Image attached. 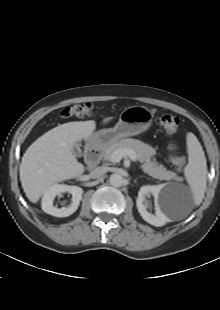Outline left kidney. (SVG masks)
<instances>
[{
	"label": "left kidney",
	"mask_w": 220,
	"mask_h": 310,
	"mask_svg": "<svg viewBox=\"0 0 220 310\" xmlns=\"http://www.w3.org/2000/svg\"><path fill=\"white\" fill-rule=\"evenodd\" d=\"M164 185L142 186L138 193L137 208L142 218L151 225L162 226L168 217L166 211L171 203V198L165 192H162ZM152 195L154 197L155 215L147 211L146 197Z\"/></svg>",
	"instance_id": "1"
}]
</instances>
